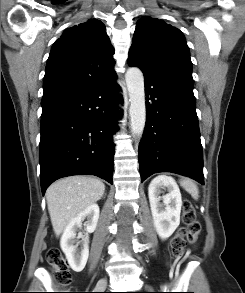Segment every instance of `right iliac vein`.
<instances>
[{
    "label": "right iliac vein",
    "mask_w": 245,
    "mask_h": 293,
    "mask_svg": "<svg viewBox=\"0 0 245 293\" xmlns=\"http://www.w3.org/2000/svg\"><path fill=\"white\" fill-rule=\"evenodd\" d=\"M105 286H106V280L102 279V280H100V281L97 283V285H96V289H97L98 291H101V290H103V289L105 288Z\"/></svg>",
    "instance_id": "right-iliac-vein-1"
}]
</instances>
